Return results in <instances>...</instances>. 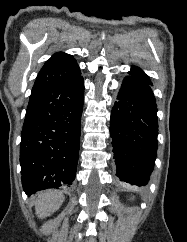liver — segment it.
<instances>
[{
	"instance_id": "6515ba94",
	"label": "liver",
	"mask_w": 187,
	"mask_h": 242,
	"mask_svg": "<svg viewBox=\"0 0 187 242\" xmlns=\"http://www.w3.org/2000/svg\"><path fill=\"white\" fill-rule=\"evenodd\" d=\"M64 196L59 191L48 190L38 195L35 203V211L39 218L43 219L56 212L62 205Z\"/></svg>"
}]
</instances>
